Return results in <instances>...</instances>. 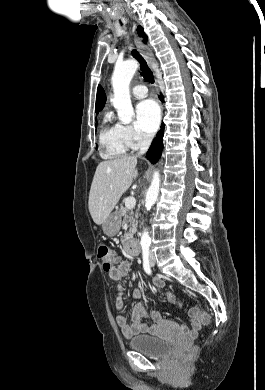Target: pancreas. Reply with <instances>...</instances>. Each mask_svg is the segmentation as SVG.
<instances>
[{
    "label": "pancreas",
    "instance_id": "pancreas-1",
    "mask_svg": "<svg viewBox=\"0 0 265 390\" xmlns=\"http://www.w3.org/2000/svg\"><path fill=\"white\" fill-rule=\"evenodd\" d=\"M119 213L121 216H123V223H125L128 218L131 220V227L129 231L124 234L123 243H125L128 239L132 238L133 235L136 233L138 221L137 218L133 217L134 214L133 211L128 209L127 207L122 206Z\"/></svg>",
    "mask_w": 265,
    "mask_h": 390
}]
</instances>
